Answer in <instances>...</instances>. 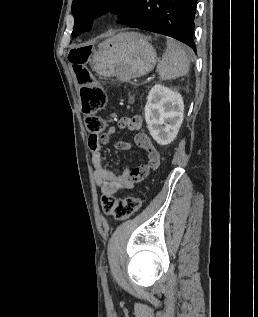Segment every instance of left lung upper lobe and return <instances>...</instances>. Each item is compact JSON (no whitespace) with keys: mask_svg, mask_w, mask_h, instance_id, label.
<instances>
[{"mask_svg":"<svg viewBox=\"0 0 258 317\" xmlns=\"http://www.w3.org/2000/svg\"><path fill=\"white\" fill-rule=\"evenodd\" d=\"M140 0H73L72 14L75 19L72 36L76 37L83 31H89L92 21L106 12L118 13V22L127 25Z\"/></svg>","mask_w":258,"mask_h":317,"instance_id":"5c2ea615","label":"left lung upper lobe"}]
</instances>
